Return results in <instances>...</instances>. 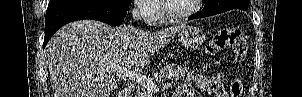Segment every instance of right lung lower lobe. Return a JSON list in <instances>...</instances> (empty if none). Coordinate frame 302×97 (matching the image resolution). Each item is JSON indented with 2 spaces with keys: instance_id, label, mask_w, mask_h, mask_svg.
<instances>
[{
  "instance_id": "obj_1",
  "label": "right lung lower lobe",
  "mask_w": 302,
  "mask_h": 97,
  "mask_svg": "<svg viewBox=\"0 0 302 97\" xmlns=\"http://www.w3.org/2000/svg\"><path fill=\"white\" fill-rule=\"evenodd\" d=\"M126 9L104 0H75L49 5L45 17L43 48L63 25L81 19H94L116 26L123 22Z\"/></svg>"
}]
</instances>
